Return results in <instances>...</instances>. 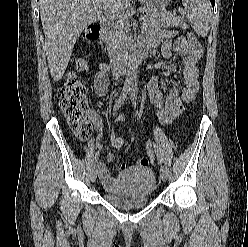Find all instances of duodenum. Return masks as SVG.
<instances>
[{
	"instance_id": "1",
	"label": "duodenum",
	"mask_w": 248,
	"mask_h": 247,
	"mask_svg": "<svg viewBox=\"0 0 248 247\" xmlns=\"http://www.w3.org/2000/svg\"><path fill=\"white\" fill-rule=\"evenodd\" d=\"M93 28L98 34V39H102L106 33V23L99 20L93 24ZM147 54L145 51L132 50L124 54L114 55L111 60L110 67L115 73H124L130 70L133 66L141 65Z\"/></svg>"
}]
</instances>
